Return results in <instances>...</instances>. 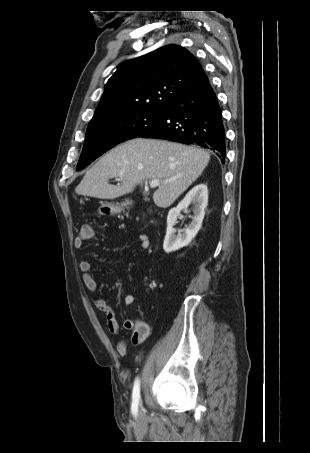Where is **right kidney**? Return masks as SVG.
Returning a JSON list of instances; mask_svg holds the SVG:
<instances>
[{"label": "right kidney", "mask_w": 310, "mask_h": 453, "mask_svg": "<svg viewBox=\"0 0 310 453\" xmlns=\"http://www.w3.org/2000/svg\"><path fill=\"white\" fill-rule=\"evenodd\" d=\"M193 205V218L189 226L177 235L176 230L173 228L177 217L181 210L187 209L188 206ZM208 204V189L205 184H198L194 186L184 197V199L172 208L167 216V230L163 243V249L166 253L176 251L184 246H187L192 239L196 236L202 226V221L205 216V208Z\"/></svg>", "instance_id": "obj_1"}]
</instances>
